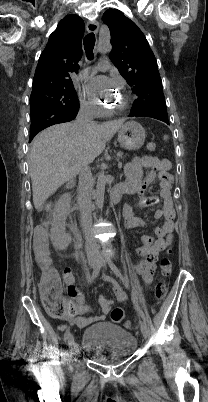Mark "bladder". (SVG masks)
<instances>
[{
	"label": "bladder",
	"mask_w": 208,
	"mask_h": 402,
	"mask_svg": "<svg viewBox=\"0 0 208 402\" xmlns=\"http://www.w3.org/2000/svg\"><path fill=\"white\" fill-rule=\"evenodd\" d=\"M82 345L97 361L117 364L134 352L137 341L132 333L120 326L96 323L84 330Z\"/></svg>",
	"instance_id": "1"
}]
</instances>
